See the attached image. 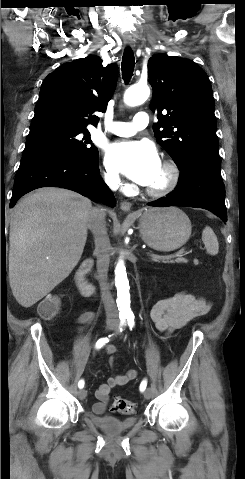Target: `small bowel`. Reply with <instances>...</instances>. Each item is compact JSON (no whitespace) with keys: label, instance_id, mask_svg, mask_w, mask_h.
Wrapping results in <instances>:
<instances>
[{"label":"small bowel","instance_id":"c3829d8e","mask_svg":"<svg viewBox=\"0 0 245 479\" xmlns=\"http://www.w3.org/2000/svg\"><path fill=\"white\" fill-rule=\"evenodd\" d=\"M211 308V304L204 298L195 296L187 292H179L171 297L160 299L150 310V319L156 328L165 334L175 329L181 328L193 318L207 313ZM94 318V314L90 311L82 312L78 317V323L81 325L89 324ZM117 349L113 345L105 348V352L114 355ZM113 358H111V362ZM138 377V371L129 369L122 375L111 376L106 383L102 384L95 396L97 402L92 405V411L95 414L105 412L109 402V394L113 388L124 386Z\"/></svg>","mask_w":245,"mask_h":479}]
</instances>
